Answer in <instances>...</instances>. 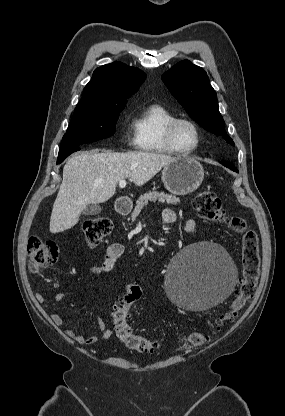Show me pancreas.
Returning <instances> with one entry per match:
<instances>
[{"label": "pancreas", "instance_id": "obj_1", "mask_svg": "<svg viewBox=\"0 0 285 416\" xmlns=\"http://www.w3.org/2000/svg\"><path fill=\"white\" fill-rule=\"evenodd\" d=\"M148 202H167V204H177L180 202L179 198H175L172 194H164V192H147V194H143V196H139V200L136 202V206L134 208V212L131 214V220L134 222L137 216H139L141 210H143L144 206L148 204Z\"/></svg>", "mask_w": 285, "mask_h": 416}]
</instances>
